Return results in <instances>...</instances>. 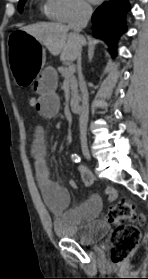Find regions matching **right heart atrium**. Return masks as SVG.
Returning <instances> with one entry per match:
<instances>
[{"label": "right heart atrium", "mask_w": 148, "mask_h": 279, "mask_svg": "<svg viewBox=\"0 0 148 279\" xmlns=\"http://www.w3.org/2000/svg\"><path fill=\"white\" fill-rule=\"evenodd\" d=\"M45 10L49 18L70 23L86 17L90 12V6L84 0H47Z\"/></svg>", "instance_id": "d8ad5b80"}]
</instances>
